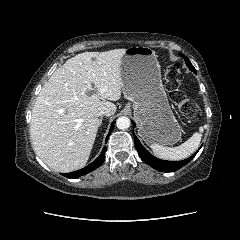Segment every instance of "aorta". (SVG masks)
Returning <instances> with one entry per match:
<instances>
[{"label": "aorta", "instance_id": "762f6f07", "mask_svg": "<svg viewBox=\"0 0 240 240\" xmlns=\"http://www.w3.org/2000/svg\"><path fill=\"white\" fill-rule=\"evenodd\" d=\"M131 121L128 117L121 116L116 120L117 128L120 130H125L130 127Z\"/></svg>", "mask_w": 240, "mask_h": 240}]
</instances>
